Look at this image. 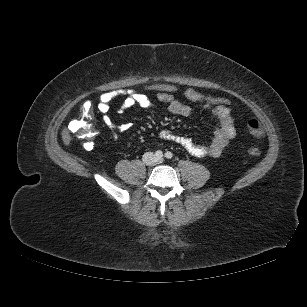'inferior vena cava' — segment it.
I'll list each match as a JSON object with an SVG mask.
<instances>
[{"label": "inferior vena cava", "instance_id": "obj_1", "mask_svg": "<svg viewBox=\"0 0 307 307\" xmlns=\"http://www.w3.org/2000/svg\"><path fill=\"white\" fill-rule=\"evenodd\" d=\"M142 160L146 165H154L157 162V157L153 152H146L144 153Z\"/></svg>", "mask_w": 307, "mask_h": 307}]
</instances>
